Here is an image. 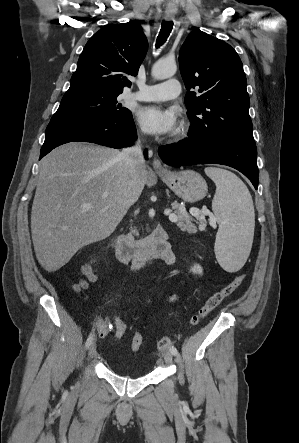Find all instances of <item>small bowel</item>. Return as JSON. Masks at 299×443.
<instances>
[{"label":"small bowel","mask_w":299,"mask_h":443,"mask_svg":"<svg viewBox=\"0 0 299 443\" xmlns=\"http://www.w3.org/2000/svg\"><path fill=\"white\" fill-rule=\"evenodd\" d=\"M161 259L164 260L165 263L170 266L174 265L176 262V257L170 251L165 256H163ZM140 268H141V266L133 264V271L138 272L140 270ZM176 299H177L176 296H171L169 298V301L174 302ZM110 330H111L110 318L107 316L105 318L99 319V321H98V336L100 338H104L110 333Z\"/></svg>","instance_id":"obj_1"}]
</instances>
